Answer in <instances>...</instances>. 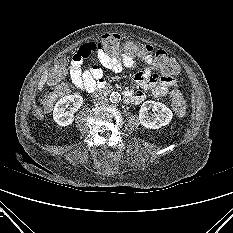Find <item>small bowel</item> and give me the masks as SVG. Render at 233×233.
I'll use <instances>...</instances> for the list:
<instances>
[{
  "label": "small bowel",
  "instance_id": "1",
  "mask_svg": "<svg viewBox=\"0 0 233 233\" xmlns=\"http://www.w3.org/2000/svg\"><path fill=\"white\" fill-rule=\"evenodd\" d=\"M80 48L72 57L69 74L73 84L77 88L87 93H92L96 89L106 86V81L103 77V71L97 65L92 64L88 68L83 67L84 57L80 52ZM97 57L103 67L115 73L122 72L124 68L136 66L137 59L143 61L146 64L145 68L135 73L133 79L143 89L151 90L155 98L165 97L169 89L177 85L173 77L158 73L159 70L149 53H143L137 50L134 54H129L124 51L111 54L99 50ZM145 98L146 95L143 91L128 90L125 93V101L130 104H140Z\"/></svg>",
  "mask_w": 233,
  "mask_h": 233
}]
</instances>
